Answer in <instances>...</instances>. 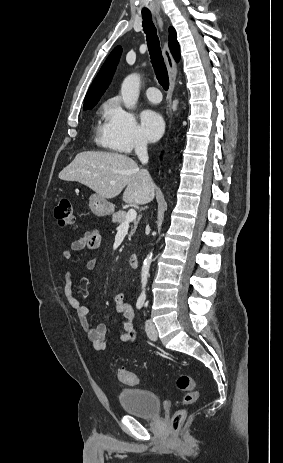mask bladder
I'll list each match as a JSON object with an SVG mask.
<instances>
[{
  "label": "bladder",
  "instance_id": "bladder-1",
  "mask_svg": "<svg viewBox=\"0 0 283 463\" xmlns=\"http://www.w3.org/2000/svg\"><path fill=\"white\" fill-rule=\"evenodd\" d=\"M118 400L124 412L137 417L155 418L162 409L161 398L144 389H122L118 393Z\"/></svg>",
  "mask_w": 283,
  "mask_h": 463
}]
</instances>
